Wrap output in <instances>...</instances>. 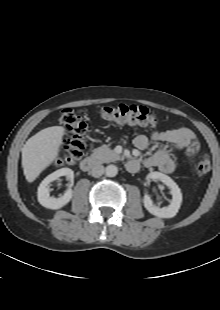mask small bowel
<instances>
[{
	"instance_id": "obj_1",
	"label": "small bowel",
	"mask_w": 220,
	"mask_h": 310,
	"mask_svg": "<svg viewBox=\"0 0 220 310\" xmlns=\"http://www.w3.org/2000/svg\"><path fill=\"white\" fill-rule=\"evenodd\" d=\"M162 142L170 147L183 151L187 157L196 155L199 151V142L192 130L185 127L166 131H154L150 136L139 134L134 138V145L139 150L148 148L150 142ZM146 167H157L164 173H172L175 163L167 147L160 148L153 155L144 160Z\"/></svg>"
}]
</instances>
